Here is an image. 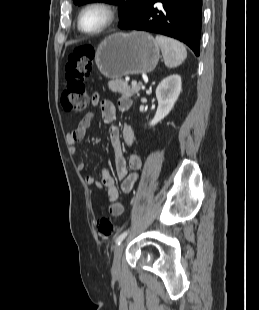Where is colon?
I'll return each instance as SVG.
<instances>
[{"instance_id": "colon-1", "label": "colon", "mask_w": 259, "mask_h": 310, "mask_svg": "<svg viewBox=\"0 0 259 310\" xmlns=\"http://www.w3.org/2000/svg\"><path fill=\"white\" fill-rule=\"evenodd\" d=\"M94 49L89 45L76 47L66 62V86L61 95V106L66 111L82 112L89 101L86 80L93 68ZM97 229L103 236L118 231V225L108 217H101Z\"/></svg>"}]
</instances>
